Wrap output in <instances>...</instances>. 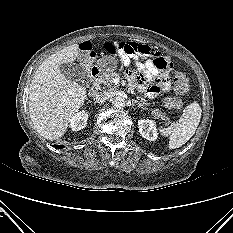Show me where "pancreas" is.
<instances>
[{
    "label": "pancreas",
    "mask_w": 233,
    "mask_h": 233,
    "mask_svg": "<svg viewBox=\"0 0 233 233\" xmlns=\"http://www.w3.org/2000/svg\"><path fill=\"white\" fill-rule=\"evenodd\" d=\"M119 74L116 72H111L109 74H107L103 80L101 81V83H103V85H105L107 87V90L109 92L113 91L116 89V86L114 84V78L118 77ZM138 99H140V102H142V104H146V101L143 97L139 96ZM152 114L154 116V118L156 119H161V120H165L168 121L169 117H167L165 115V113L161 112L158 109H152Z\"/></svg>",
    "instance_id": "cf45deb5"
}]
</instances>
